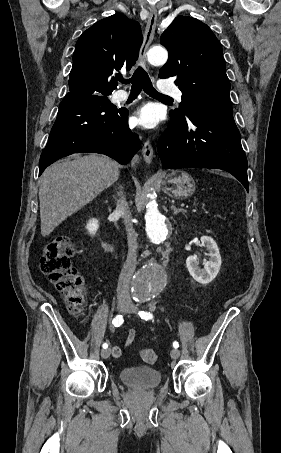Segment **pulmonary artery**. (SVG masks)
<instances>
[{
  "label": "pulmonary artery",
  "mask_w": 281,
  "mask_h": 453,
  "mask_svg": "<svg viewBox=\"0 0 281 453\" xmlns=\"http://www.w3.org/2000/svg\"><path fill=\"white\" fill-rule=\"evenodd\" d=\"M170 95H172L176 100L181 101L182 98V92L178 89L173 90L168 92ZM129 94L127 91L123 89H119L113 93L111 96V101L114 103H121L124 102L128 99Z\"/></svg>",
  "instance_id": "1"
}]
</instances>
